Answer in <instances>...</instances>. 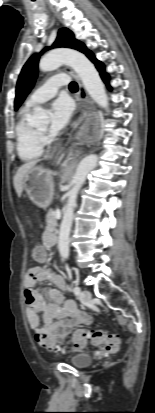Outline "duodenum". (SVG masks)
Listing matches in <instances>:
<instances>
[{"label": "duodenum", "instance_id": "410a0bca", "mask_svg": "<svg viewBox=\"0 0 155 413\" xmlns=\"http://www.w3.org/2000/svg\"><path fill=\"white\" fill-rule=\"evenodd\" d=\"M51 235H52V245H53V244L56 243V240H57V233H56V231H55V230H52Z\"/></svg>", "mask_w": 155, "mask_h": 413}]
</instances>
